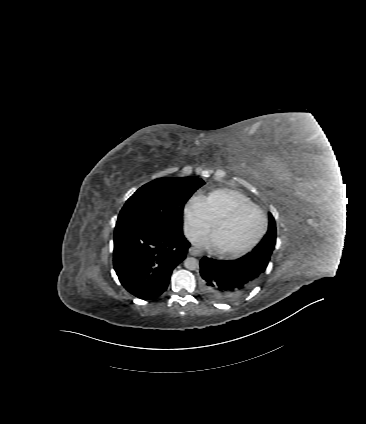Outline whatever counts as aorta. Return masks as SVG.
I'll use <instances>...</instances> for the list:
<instances>
[{
    "label": "aorta",
    "mask_w": 366,
    "mask_h": 424,
    "mask_svg": "<svg viewBox=\"0 0 366 424\" xmlns=\"http://www.w3.org/2000/svg\"><path fill=\"white\" fill-rule=\"evenodd\" d=\"M184 266L188 270H196L199 268V261L194 257H187L184 261Z\"/></svg>",
    "instance_id": "1"
}]
</instances>
